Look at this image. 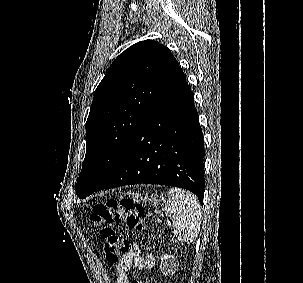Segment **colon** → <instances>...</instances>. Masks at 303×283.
<instances>
[{"label": "colon", "mask_w": 303, "mask_h": 283, "mask_svg": "<svg viewBox=\"0 0 303 283\" xmlns=\"http://www.w3.org/2000/svg\"><path fill=\"white\" fill-rule=\"evenodd\" d=\"M92 223L98 228L106 260L116 263L128 246L126 237L116 230L125 225L130 230L141 231L145 228L144 210L140 203L130 199L109 200L96 204L90 214ZM132 283H145L135 277Z\"/></svg>", "instance_id": "5ec220e1"}]
</instances>
